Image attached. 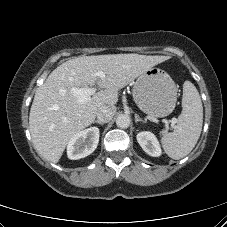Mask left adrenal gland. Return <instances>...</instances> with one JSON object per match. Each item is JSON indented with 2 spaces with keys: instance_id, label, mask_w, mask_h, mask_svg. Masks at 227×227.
Here are the masks:
<instances>
[{
  "instance_id": "1",
  "label": "left adrenal gland",
  "mask_w": 227,
  "mask_h": 227,
  "mask_svg": "<svg viewBox=\"0 0 227 227\" xmlns=\"http://www.w3.org/2000/svg\"><path fill=\"white\" fill-rule=\"evenodd\" d=\"M135 122H136V123H137V122H143V123H145V121L142 120V119H140V118L138 117L137 114L135 115Z\"/></svg>"
}]
</instances>
